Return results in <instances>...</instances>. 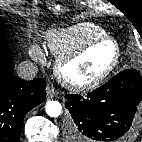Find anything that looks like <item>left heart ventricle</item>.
<instances>
[{"mask_svg":"<svg viewBox=\"0 0 142 142\" xmlns=\"http://www.w3.org/2000/svg\"><path fill=\"white\" fill-rule=\"evenodd\" d=\"M112 57L113 47L109 43H104L70 65L68 73L77 80H89L105 69Z\"/></svg>","mask_w":142,"mask_h":142,"instance_id":"b2bd125f","label":"left heart ventricle"}]
</instances>
